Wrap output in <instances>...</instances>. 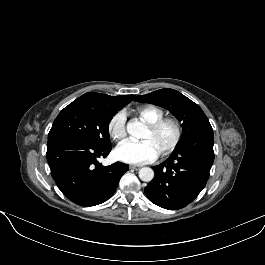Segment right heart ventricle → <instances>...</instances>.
<instances>
[{
  "instance_id": "1",
  "label": "right heart ventricle",
  "mask_w": 265,
  "mask_h": 265,
  "mask_svg": "<svg viewBox=\"0 0 265 265\" xmlns=\"http://www.w3.org/2000/svg\"><path fill=\"white\" fill-rule=\"evenodd\" d=\"M135 113L145 124L153 123L164 116L163 110L153 105H140L136 107Z\"/></svg>"
}]
</instances>
